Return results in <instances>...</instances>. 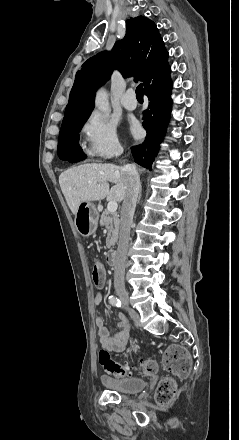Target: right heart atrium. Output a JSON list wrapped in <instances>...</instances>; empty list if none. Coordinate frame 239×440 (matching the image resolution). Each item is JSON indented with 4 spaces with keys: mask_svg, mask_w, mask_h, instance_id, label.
Masks as SVG:
<instances>
[{
    "mask_svg": "<svg viewBox=\"0 0 239 440\" xmlns=\"http://www.w3.org/2000/svg\"><path fill=\"white\" fill-rule=\"evenodd\" d=\"M84 153L89 159H111L122 148L115 124L99 111H93L82 124Z\"/></svg>",
    "mask_w": 239,
    "mask_h": 440,
    "instance_id": "right-heart-atrium-1",
    "label": "right heart atrium"
}]
</instances>
